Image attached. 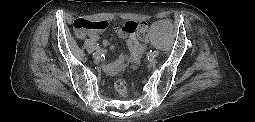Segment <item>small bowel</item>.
I'll return each mask as SVG.
<instances>
[{
	"label": "small bowel",
	"mask_w": 255,
	"mask_h": 122,
	"mask_svg": "<svg viewBox=\"0 0 255 122\" xmlns=\"http://www.w3.org/2000/svg\"><path fill=\"white\" fill-rule=\"evenodd\" d=\"M117 34L122 39L128 38L127 46L129 49V54L122 53L118 58L106 62L104 65L105 70L109 73H118L124 70L129 65V62H131L130 68L136 69L137 65L139 64L142 58V55L146 50L145 44L141 42V39L135 32L130 33L126 31L123 27L117 30ZM83 38H88L92 41H97L99 40L100 36L97 31H90L86 35H84ZM108 44H109L108 40L103 41L104 46H108ZM111 48L113 49V46Z\"/></svg>",
	"instance_id": "small-bowel-1"
}]
</instances>
